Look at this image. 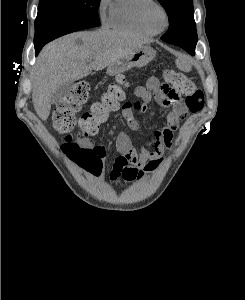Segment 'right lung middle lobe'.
Segmentation results:
<instances>
[{
    "label": "right lung middle lobe",
    "mask_w": 245,
    "mask_h": 300,
    "mask_svg": "<svg viewBox=\"0 0 245 300\" xmlns=\"http://www.w3.org/2000/svg\"><path fill=\"white\" fill-rule=\"evenodd\" d=\"M99 4L100 0H40L35 47L74 31L99 26Z\"/></svg>",
    "instance_id": "obj_1"
}]
</instances>
